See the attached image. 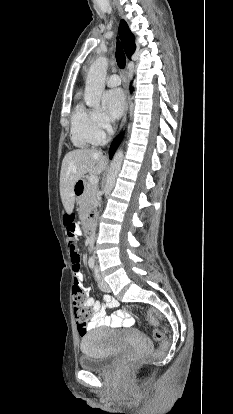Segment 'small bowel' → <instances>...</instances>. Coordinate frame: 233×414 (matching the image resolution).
<instances>
[{"label":"small bowel","instance_id":"obj_1","mask_svg":"<svg viewBox=\"0 0 233 414\" xmlns=\"http://www.w3.org/2000/svg\"><path fill=\"white\" fill-rule=\"evenodd\" d=\"M76 236L80 235L79 231L75 232ZM71 266L73 267L74 283L71 285L72 293L79 295L82 291L86 293L87 306L92 311L91 328L95 327H107V328H122L131 327L134 324L133 316L123 309H118L119 302L111 295L104 296V302L94 300L89 291L92 286L89 283L82 284L83 274L82 267L80 266V253L77 250H73L70 253ZM107 309H116L113 314L108 315Z\"/></svg>","mask_w":233,"mask_h":414}]
</instances>
